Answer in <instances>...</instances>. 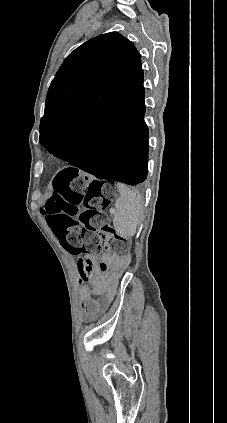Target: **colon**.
Here are the masks:
<instances>
[{"instance_id":"colon-1","label":"colon","mask_w":227,"mask_h":423,"mask_svg":"<svg viewBox=\"0 0 227 423\" xmlns=\"http://www.w3.org/2000/svg\"><path fill=\"white\" fill-rule=\"evenodd\" d=\"M114 196L112 186L90 182L74 171L64 170L55 177L52 194L41 212L71 254H96L104 246L101 234L108 233L112 251L118 259H123L129 254V241L107 224L105 212ZM76 268L81 281L94 279L89 260H78Z\"/></svg>"}]
</instances>
